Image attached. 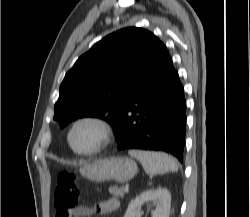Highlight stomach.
<instances>
[{
  "instance_id": "1",
  "label": "stomach",
  "mask_w": 250,
  "mask_h": 217,
  "mask_svg": "<svg viewBox=\"0 0 250 217\" xmlns=\"http://www.w3.org/2000/svg\"><path fill=\"white\" fill-rule=\"evenodd\" d=\"M137 171L135 161L127 157L99 159L85 163L80 168L81 174L93 182L112 180L124 183L131 180Z\"/></svg>"
}]
</instances>
